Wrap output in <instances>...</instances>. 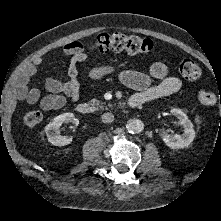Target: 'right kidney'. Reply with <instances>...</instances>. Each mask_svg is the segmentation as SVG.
<instances>
[{
  "instance_id": "obj_1",
  "label": "right kidney",
  "mask_w": 221,
  "mask_h": 221,
  "mask_svg": "<svg viewBox=\"0 0 221 221\" xmlns=\"http://www.w3.org/2000/svg\"><path fill=\"white\" fill-rule=\"evenodd\" d=\"M78 123L73 113H63L56 116L44 129L48 141L54 146H65L72 142V137L63 136L60 133V126L63 123Z\"/></svg>"
}]
</instances>
